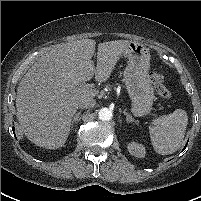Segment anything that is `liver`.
I'll return each instance as SVG.
<instances>
[{"mask_svg": "<svg viewBox=\"0 0 201 201\" xmlns=\"http://www.w3.org/2000/svg\"><path fill=\"white\" fill-rule=\"evenodd\" d=\"M127 44L100 43L96 68L92 39L58 45L35 62L21 79L16 97L17 118L28 139L48 149L62 147L80 99L98 94L80 87L94 75L98 82L107 81Z\"/></svg>", "mask_w": 201, "mask_h": 201, "instance_id": "liver-1", "label": "liver"}]
</instances>
